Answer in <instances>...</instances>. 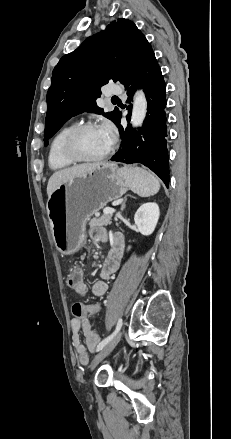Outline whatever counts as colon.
Returning a JSON list of instances; mask_svg holds the SVG:
<instances>
[{"label": "colon", "mask_w": 231, "mask_h": 439, "mask_svg": "<svg viewBox=\"0 0 231 439\" xmlns=\"http://www.w3.org/2000/svg\"><path fill=\"white\" fill-rule=\"evenodd\" d=\"M68 279V285L71 286V293L72 295H78L75 290L76 283H87L84 280L85 276V269L80 264L79 260H74L71 268L68 269L67 273Z\"/></svg>", "instance_id": "colon-1"}]
</instances>
